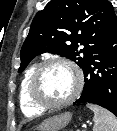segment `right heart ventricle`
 <instances>
[{
    "mask_svg": "<svg viewBox=\"0 0 117 131\" xmlns=\"http://www.w3.org/2000/svg\"><path fill=\"white\" fill-rule=\"evenodd\" d=\"M35 67H30L23 75L19 89V101L23 113L26 116H37L43 113L44 109L37 107L29 96V81Z\"/></svg>",
    "mask_w": 117,
    "mask_h": 131,
    "instance_id": "1",
    "label": "right heart ventricle"
}]
</instances>
